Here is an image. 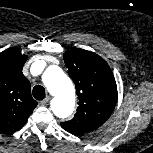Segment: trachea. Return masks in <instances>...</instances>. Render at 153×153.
<instances>
[{
  "mask_svg": "<svg viewBox=\"0 0 153 153\" xmlns=\"http://www.w3.org/2000/svg\"><path fill=\"white\" fill-rule=\"evenodd\" d=\"M32 94L36 100H43L46 95L45 88L41 85H36L32 90Z\"/></svg>",
  "mask_w": 153,
  "mask_h": 153,
  "instance_id": "obj_1",
  "label": "trachea"
}]
</instances>
